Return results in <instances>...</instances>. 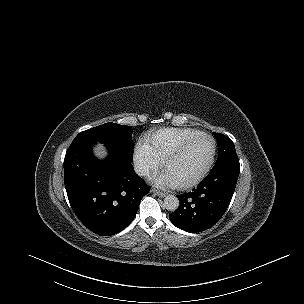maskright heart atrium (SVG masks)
Returning a JSON list of instances; mask_svg holds the SVG:
<instances>
[{
  "instance_id": "1",
  "label": "right heart atrium",
  "mask_w": 304,
  "mask_h": 304,
  "mask_svg": "<svg viewBox=\"0 0 304 304\" xmlns=\"http://www.w3.org/2000/svg\"><path fill=\"white\" fill-rule=\"evenodd\" d=\"M134 164L141 175L148 176L161 166V160L147 143L139 142L134 149Z\"/></svg>"
}]
</instances>
